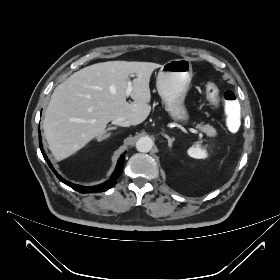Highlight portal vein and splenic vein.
<instances>
[{"label": "portal vein and splenic vein", "instance_id": "18ae733b", "mask_svg": "<svg viewBox=\"0 0 280 280\" xmlns=\"http://www.w3.org/2000/svg\"><path fill=\"white\" fill-rule=\"evenodd\" d=\"M132 90H133L132 82L130 80H128L127 88H126V96L127 97L131 94ZM189 131L192 132V133H198V131L196 129H193V128H189Z\"/></svg>", "mask_w": 280, "mask_h": 280}]
</instances>
